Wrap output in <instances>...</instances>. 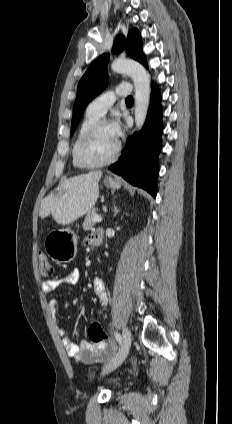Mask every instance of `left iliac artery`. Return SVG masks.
Masks as SVG:
<instances>
[{"instance_id":"44dca946","label":"left iliac artery","mask_w":232,"mask_h":424,"mask_svg":"<svg viewBox=\"0 0 232 424\" xmlns=\"http://www.w3.org/2000/svg\"><path fill=\"white\" fill-rule=\"evenodd\" d=\"M114 336L119 344H122L121 335L118 332H114Z\"/></svg>"}]
</instances>
